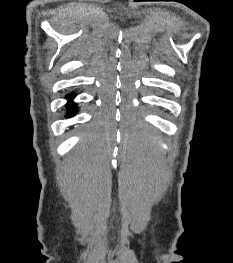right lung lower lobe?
<instances>
[{
  "label": "right lung lower lobe",
  "mask_w": 233,
  "mask_h": 263,
  "mask_svg": "<svg viewBox=\"0 0 233 263\" xmlns=\"http://www.w3.org/2000/svg\"><path fill=\"white\" fill-rule=\"evenodd\" d=\"M74 96H75L74 94H70V95H68V98L71 99V98H73ZM67 108H68L69 111L74 112V111L76 110V105H75V103L69 101V102L67 103Z\"/></svg>",
  "instance_id": "right-lung-lower-lobe-1"
}]
</instances>
